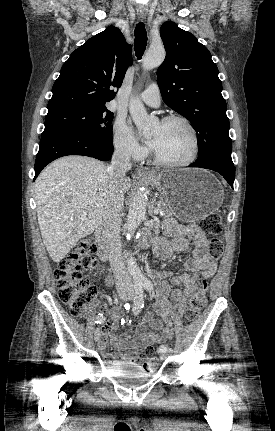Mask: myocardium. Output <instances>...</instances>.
<instances>
[{
	"instance_id": "obj_1",
	"label": "myocardium",
	"mask_w": 275,
	"mask_h": 431,
	"mask_svg": "<svg viewBox=\"0 0 275 431\" xmlns=\"http://www.w3.org/2000/svg\"><path fill=\"white\" fill-rule=\"evenodd\" d=\"M171 122L182 123L190 132L191 137H192V142H193L191 155L189 156V158H187L186 160L181 161V162H169V161L162 159L156 153L154 148H152L151 149L152 160L155 164H157L161 167H165V168H182V167L189 166L195 162V160L197 159V157L199 155L200 142H199L198 133H197L196 129L194 128V126L192 125V123L187 118H185L183 116L170 115V116H167L161 120V124H168Z\"/></svg>"
}]
</instances>
